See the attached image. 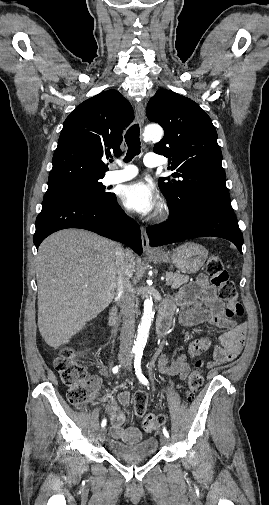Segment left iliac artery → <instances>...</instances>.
Here are the masks:
<instances>
[{"label":"left iliac artery","mask_w":269,"mask_h":505,"mask_svg":"<svg viewBox=\"0 0 269 505\" xmlns=\"http://www.w3.org/2000/svg\"><path fill=\"white\" fill-rule=\"evenodd\" d=\"M141 358H142V353H137L135 355V359H134V368H135V372H136V375H137V378L138 380L144 384V385H148V380L147 378L144 376V374L142 373V369H141ZM163 434L165 437L169 438V433L167 431V429L164 427L163 428Z\"/></svg>","instance_id":"obj_1"}]
</instances>
